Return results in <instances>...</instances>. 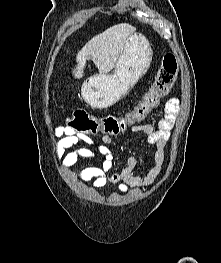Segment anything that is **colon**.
<instances>
[{"label": "colon", "instance_id": "obj_1", "mask_svg": "<svg viewBox=\"0 0 221 263\" xmlns=\"http://www.w3.org/2000/svg\"><path fill=\"white\" fill-rule=\"evenodd\" d=\"M178 64L175 55L168 53L163 57L162 64L155 79L143 96L142 100L123 117L107 115L96 117L83 109L75 110L66 121V127L74 133L86 136L103 133L118 135L128 127L144 119L169 94L176 80Z\"/></svg>", "mask_w": 221, "mask_h": 263}]
</instances>
